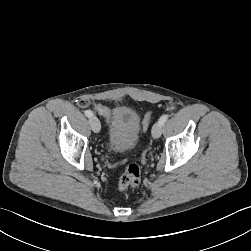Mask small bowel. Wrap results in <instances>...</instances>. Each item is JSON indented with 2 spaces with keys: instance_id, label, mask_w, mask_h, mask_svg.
Here are the masks:
<instances>
[{
  "instance_id": "1",
  "label": "small bowel",
  "mask_w": 251,
  "mask_h": 251,
  "mask_svg": "<svg viewBox=\"0 0 251 251\" xmlns=\"http://www.w3.org/2000/svg\"><path fill=\"white\" fill-rule=\"evenodd\" d=\"M78 105H79L81 108L89 109V108L92 106V101H91L89 98L81 97V98L78 100ZM109 111H110V110H109Z\"/></svg>"
}]
</instances>
